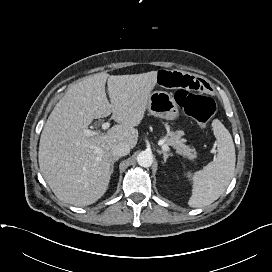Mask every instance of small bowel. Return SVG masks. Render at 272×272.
<instances>
[{"label": "small bowel", "instance_id": "c3829d8e", "mask_svg": "<svg viewBox=\"0 0 272 272\" xmlns=\"http://www.w3.org/2000/svg\"><path fill=\"white\" fill-rule=\"evenodd\" d=\"M158 83L165 88L186 91L203 92L210 88L206 81L174 70H161L158 74Z\"/></svg>", "mask_w": 272, "mask_h": 272}]
</instances>
